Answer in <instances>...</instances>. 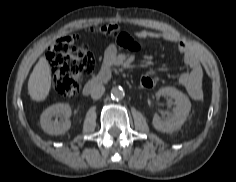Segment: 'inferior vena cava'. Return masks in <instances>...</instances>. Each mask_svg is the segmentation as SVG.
<instances>
[{"label": "inferior vena cava", "mask_w": 236, "mask_h": 182, "mask_svg": "<svg viewBox=\"0 0 236 182\" xmlns=\"http://www.w3.org/2000/svg\"><path fill=\"white\" fill-rule=\"evenodd\" d=\"M105 92V87L101 84L95 85L91 90V97L93 99H99Z\"/></svg>", "instance_id": "obj_1"}]
</instances>
